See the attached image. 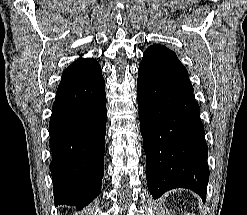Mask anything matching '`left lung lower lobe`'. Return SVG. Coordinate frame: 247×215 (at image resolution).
<instances>
[{
	"mask_svg": "<svg viewBox=\"0 0 247 215\" xmlns=\"http://www.w3.org/2000/svg\"><path fill=\"white\" fill-rule=\"evenodd\" d=\"M147 186L154 198L174 188L206 199L208 147L188 72L162 45L146 49L137 80Z\"/></svg>",
	"mask_w": 247,
	"mask_h": 215,
	"instance_id": "1",
	"label": "left lung lower lobe"
}]
</instances>
